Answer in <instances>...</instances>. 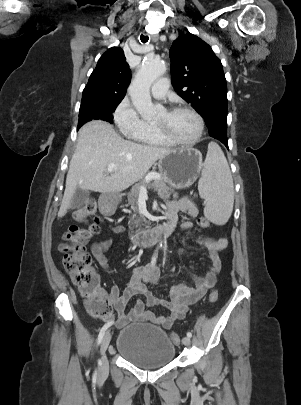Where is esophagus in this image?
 <instances>
[{"label": "esophagus", "mask_w": 301, "mask_h": 405, "mask_svg": "<svg viewBox=\"0 0 301 405\" xmlns=\"http://www.w3.org/2000/svg\"><path fill=\"white\" fill-rule=\"evenodd\" d=\"M149 38H150L152 41H157V40H158V35H156V34H151V35H149Z\"/></svg>", "instance_id": "obj_1"}]
</instances>
